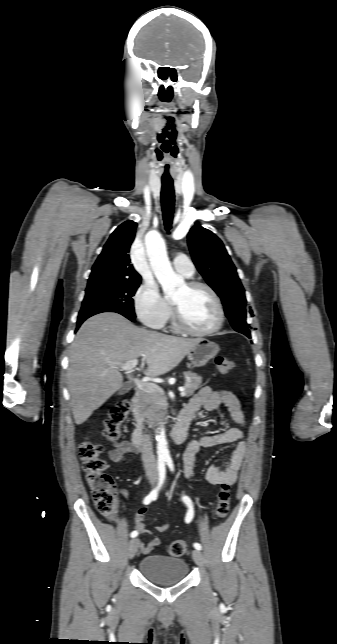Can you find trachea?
Masks as SVG:
<instances>
[{
  "label": "trachea",
  "mask_w": 337,
  "mask_h": 644,
  "mask_svg": "<svg viewBox=\"0 0 337 644\" xmlns=\"http://www.w3.org/2000/svg\"><path fill=\"white\" fill-rule=\"evenodd\" d=\"M174 186L172 180H162L161 188V205L163 211V220L165 229L169 231L172 228V220L174 213Z\"/></svg>",
  "instance_id": "1"
}]
</instances>
